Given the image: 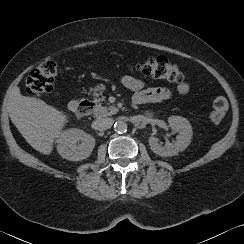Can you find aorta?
Listing matches in <instances>:
<instances>
[{
	"mask_svg": "<svg viewBox=\"0 0 244 244\" xmlns=\"http://www.w3.org/2000/svg\"><path fill=\"white\" fill-rule=\"evenodd\" d=\"M114 130L117 132V133H124L127 131V125L125 122L123 121H117L115 122L114 124Z\"/></svg>",
	"mask_w": 244,
	"mask_h": 244,
	"instance_id": "762f6f07",
	"label": "aorta"
}]
</instances>
